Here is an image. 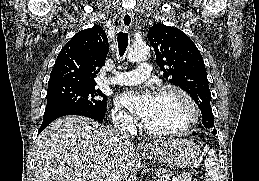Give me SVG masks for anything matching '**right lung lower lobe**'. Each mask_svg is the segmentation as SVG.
<instances>
[{
  "mask_svg": "<svg viewBox=\"0 0 259 181\" xmlns=\"http://www.w3.org/2000/svg\"><path fill=\"white\" fill-rule=\"evenodd\" d=\"M66 115H80V116L89 117L94 120H102L105 117V110L95 111V110L82 108V107H68V108L60 109L48 116L43 117V122L38 131V134L42 132L52 121Z\"/></svg>",
  "mask_w": 259,
  "mask_h": 181,
  "instance_id": "obj_1",
  "label": "right lung lower lobe"
}]
</instances>
